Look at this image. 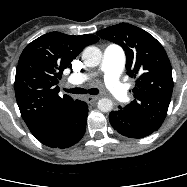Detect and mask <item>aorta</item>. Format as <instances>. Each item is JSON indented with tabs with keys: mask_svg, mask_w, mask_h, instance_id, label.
Returning <instances> with one entry per match:
<instances>
[{
	"mask_svg": "<svg viewBox=\"0 0 187 187\" xmlns=\"http://www.w3.org/2000/svg\"><path fill=\"white\" fill-rule=\"evenodd\" d=\"M84 64L88 67H96L101 63L102 52L98 47L88 46L82 52ZM97 107L102 112H110L113 108L112 100L101 98L97 103Z\"/></svg>",
	"mask_w": 187,
	"mask_h": 187,
	"instance_id": "obj_1",
	"label": "aorta"
}]
</instances>
